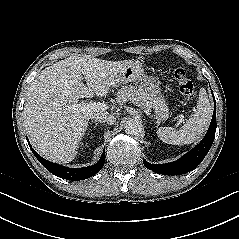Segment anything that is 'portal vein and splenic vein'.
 <instances>
[{
    "mask_svg": "<svg viewBox=\"0 0 239 239\" xmlns=\"http://www.w3.org/2000/svg\"><path fill=\"white\" fill-rule=\"evenodd\" d=\"M76 109L80 110V111H104L107 109L106 104L103 103H95V102H89V103H80L77 104Z\"/></svg>",
    "mask_w": 239,
    "mask_h": 239,
    "instance_id": "portal-vein-and-splenic-vein-1",
    "label": "portal vein and splenic vein"
}]
</instances>
